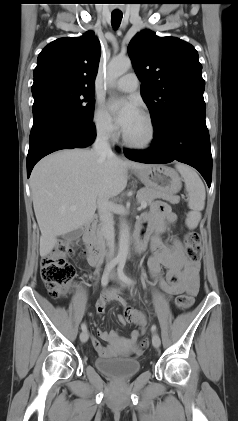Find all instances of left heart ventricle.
I'll list each match as a JSON object with an SVG mask.
<instances>
[{
	"mask_svg": "<svg viewBox=\"0 0 238 421\" xmlns=\"http://www.w3.org/2000/svg\"><path fill=\"white\" fill-rule=\"evenodd\" d=\"M126 136L135 142L144 141L148 136V126L141 114L124 129Z\"/></svg>",
	"mask_w": 238,
	"mask_h": 421,
	"instance_id": "1",
	"label": "left heart ventricle"
}]
</instances>
